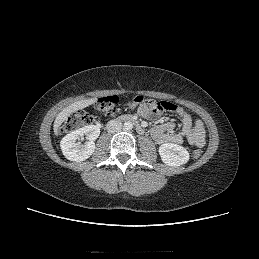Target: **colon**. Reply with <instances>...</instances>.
<instances>
[{"mask_svg":"<svg viewBox=\"0 0 259 259\" xmlns=\"http://www.w3.org/2000/svg\"><path fill=\"white\" fill-rule=\"evenodd\" d=\"M119 99L117 96H108L100 98L96 102V109L102 116H111L117 110ZM131 107H138L146 115H156L164 111L174 110L176 105L167 101H155L152 99H145L143 96H135L129 103ZM97 117L88 112H75L71 114L62 124L61 133H68L78 128L93 125L97 122ZM194 158H199L202 151L196 149L192 153Z\"/></svg>","mask_w":259,"mask_h":259,"instance_id":"colon-1","label":"colon"}]
</instances>
